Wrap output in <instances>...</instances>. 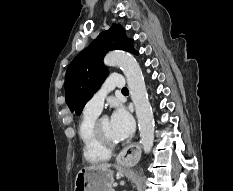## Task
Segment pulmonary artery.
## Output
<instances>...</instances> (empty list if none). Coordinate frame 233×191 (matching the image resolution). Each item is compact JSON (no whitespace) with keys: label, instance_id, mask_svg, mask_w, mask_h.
Here are the masks:
<instances>
[{"label":"pulmonary artery","instance_id":"e3ab8cb5","mask_svg":"<svg viewBox=\"0 0 233 191\" xmlns=\"http://www.w3.org/2000/svg\"><path fill=\"white\" fill-rule=\"evenodd\" d=\"M125 85V80L121 75H111L102 84L101 88L91 97L85 106L86 111L100 113L106 95L113 89H121Z\"/></svg>","mask_w":233,"mask_h":191}]
</instances>
